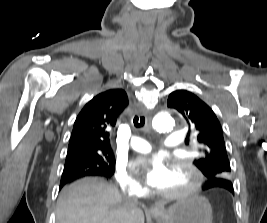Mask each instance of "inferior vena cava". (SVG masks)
<instances>
[{
    "mask_svg": "<svg viewBox=\"0 0 267 223\" xmlns=\"http://www.w3.org/2000/svg\"><path fill=\"white\" fill-rule=\"evenodd\" d=\"M125 199H126V201H127L128 203H130V204H136V203L138 202V201H137V198L134 197V196L126 197Z\"/></svg>",
    "mask_w": 267,
    "mask_h": 223,
    "instance_id": "602c4592",
    "label": "inferior vena cava"
}]
</instances>
